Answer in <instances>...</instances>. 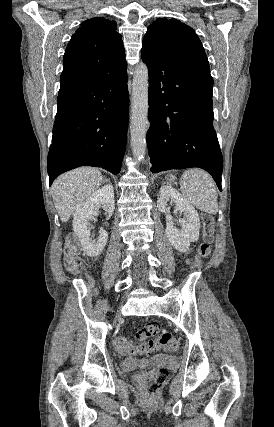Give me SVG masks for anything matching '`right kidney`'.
<instances>
[{
    "label": "right kidney",
    "mask_w": 274,
    "mask_h": 427,
    "mask_svg": "<svg viewBox=\"0 0 274 427\" xmlns=\"http://www.w3.org/2000/svg\"><path fill=\"white\" fill-rule=\"evenodd\" d=\"M95 208H103L107 214L114 212L115 200L112 186L107 184V186H102L100 190H95L81 206H77L73 217V229L80 239L84 253L90 257H98L108 239V233L105 229H101L97 239L90 237L91 227H88V221L94 219Z\"/></svg>",
    "instance_id": "ca27d5eb"
}]
</instances>
